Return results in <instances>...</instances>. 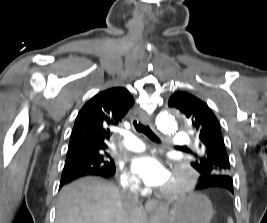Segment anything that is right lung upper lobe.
<instances>
[{"instance_id": "1", "label": "right lung upper lobe", "mask_w": 267, "mask_h": 223, "mask_svg": "<svg viewBox=\"0 0 267 223\" xmlns=\"http://www.w3.org/2000/svg\"><path fill=\"white\" fill-rule=\"evenodd\" d=\"M133 104V97L123 87L110 88L95 95L77 115L68 154H81L87 148L107 151L110 128L122 121Z\"/></svg>"}]
</instances>
